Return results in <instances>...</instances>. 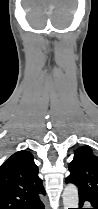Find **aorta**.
<instances>
[{
  "label": "aorta",
  "instance_id": "762f6f07",
  "mask_svg": "<svg viewBox=\"0 0 98 209\" xmlns=\"http://www.w3.org/2000/svg\"><path fill=\"white\" fill-rule=\"evenodd\" d=\"M79 197L78 189L73 184H68L63 192V205L64 209L78 208Z\"/></svg>",
  "mask_w": 98,
  "mask_h": 209
}]
</instances>
